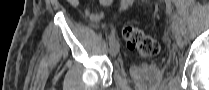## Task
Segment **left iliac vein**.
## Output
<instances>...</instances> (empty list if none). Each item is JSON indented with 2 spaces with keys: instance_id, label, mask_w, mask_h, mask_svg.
<instances>
[{
  "instance_id": "obj_1",
  "label": "left iliac vein",
  "mask_w": 209,
  "mask_h": 90,
  "mask_svg": "<svg viewBox=\"0 0 209 90\" xmlns=\"http://www.w3.org/2000/svg\"><path fill=\"white\" fill-rule=\"evenodd\" d=\"M166 10L167 13L174 19L173 23L171 25V30L173 32V34H180L181 30L179 29V24H182V20L179 18V16L175 13V11L173 10V7L170 3V1L166 0ZM181 46V44H179Z\"/></svg>"
}]
</instances>
